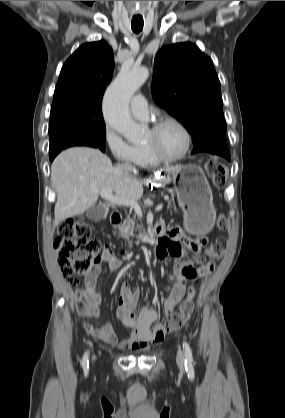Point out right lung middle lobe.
<instances>
[{"instance_id": "obj_1", "label": "right lung middle lobe", "mask_w": 285, "mask_h": 418, "mask_svg": "<svg viewBox=\"0 0 285 418\" xmlns=\"http://www.w3.org/2000/svg\"><path fill=\"white\" fill-rule=\"evenodd\" d=\"M50 157L71 146L91 145L105 151L106 126L101 106L52 105L49 124Z\"/></svg>"}]
</instances>
